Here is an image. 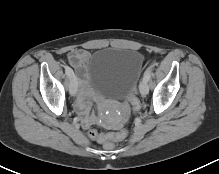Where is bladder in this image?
I'll list each match as a JSON object with an SVG mask.
<instances>
[{
	"label": "bladder",
	"mask_w": 219,
	"mask_h": 174,
	"mask_svg": "<svg viewBox=\"0 0 219 174\" xmlns=\"http://www.w3.org/2000/svg\"><path fill=\"white\" fill-rule=\"evenodd\" d=\"M144 57L128 48H102L91 54L86 70L89 85L98 94L124 99L132 91L141 72Z\"/></svg>",
	"instance_id": "1"
}]
</instances>
